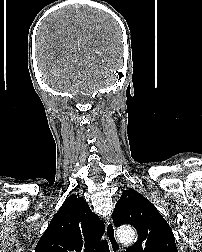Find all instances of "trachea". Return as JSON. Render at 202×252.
Instances as JSON below:
<instances>
[{"label":"trachea","instance_id":"3493384b","mask_svg":"<svg viewBox=\"0 0 202 252\" xmlns=\"http://www.w3.org/2000/svg\"><path fill=\"white\" fill-rule=\"evenodd\" d=\"M96 252H110L108 243L103 240L101 244L97 247Z\"/></svg>","mask_w":202,"mask_h":252}]
</instances>
